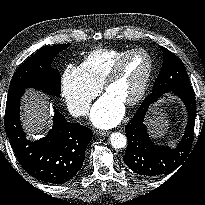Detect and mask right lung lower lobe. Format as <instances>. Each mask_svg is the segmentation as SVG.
Returning a JSON list of instances; mask_svg holds the SVG:
<instances>
[{
  "label": "right lung lower lobe",
  "mask_w": 205,
  "mask_h": 205,
  "mask_svg": "<svg viewBox=\"0 0 205 205\" xmlns=\"http://www.w3.org/2000/svg\"><path fill=\"white\" fill-rule=\"evenodd\" d=\"M24 90L8 93L5 131L22 168L35 179L63 184L81 169L92 131L80 124L67 122L54 108L53 125L42 139L26 138L19 119V103Z\"/></svg>",
  "instance_id": "98d812e1"
}]
</instances>
